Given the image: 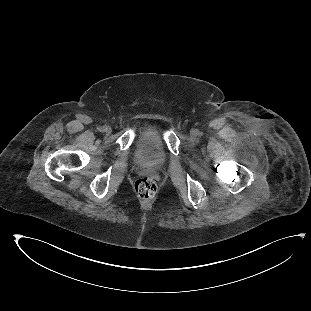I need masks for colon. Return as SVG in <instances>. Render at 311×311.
<instances>
[{"label":"colon","mask_w":311,"mask_h":311,"mask_svg":"<svg viewBox=\"0 0 311 311\" xmlns=\"http://www.w3.org/2000/svg\"><path fill=\"white\" fill-rule=\"evenodd\" d=\"M156 191V183L150 176H141L134 183V192L140 200H150L154 197Z\"/></svg>","instance_id":"5ec220e1"}]
</instances>
